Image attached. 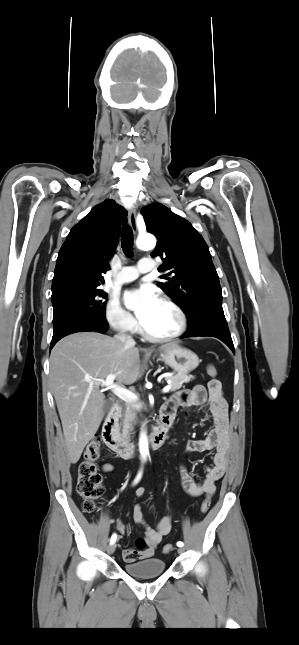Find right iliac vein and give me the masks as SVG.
<instances>
[{
    "instance_id": "1",
    "label": "right iliac vein",
    "mask_w": 299,
    "mask_h": 645,
    "mask_svg": "<svg viewBox=\"0 0 299 645\" xmlns=\"http://www.w3.org/2000/svg\"><path fill=\"white\" fill-rule=\"evenodd\" d=\"M115 549H116V545L114 543L110 544L107 548L108 554H113L115 552Z\"/></svg>"
}]
</instances>
